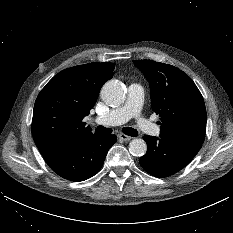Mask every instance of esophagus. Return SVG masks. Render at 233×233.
<instances>
[{
  "instance_id": "obj_1",
  "label": "esophagus",
  "mask_w": 233,
  "mask_h": 233,
  "mask_svg": "<svg viewBox=\"0 0 233 233\" xmlns=\"http://www.w3.org/2000/svg\"><path fill=\"white\" fill-rule=\"evenodd\" d=\"M118 138L122 141H130L132 139V137L125 134H118Z\"/></svg>"
}]
</instances>
